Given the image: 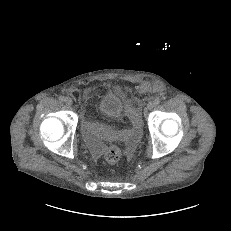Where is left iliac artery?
Returning <instances> with one entry per match:
<instances>
[{
  "instance_id": "obj_1",
  "label": "left iliac artery",
  "mask_w": 231,
  "mask_h": 231,
  "mask_svg": "<svg viewBox=\"0 0 231 231\" xmlns=\"http://www.w3.org/2000/svg\"><path fill=\"white\" fill-rule=\"evenodd\" d=\"M154 103H155L156 105H158V104L161 103V100H160L159 98H156V99L154 100Z\"/></svg>"
}]
</instances>
